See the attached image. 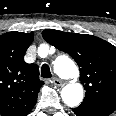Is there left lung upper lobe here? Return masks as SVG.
<instances>
[{"instance_id": "left-lung-upper-lobe-1", "label": "left lung upper lobe", "mask_w": 116, "mask_h": 116, "mask_svg": "<svg viewBox=\"0 0 116 116\" xmlns=\"http://www.w3.org/2000/svg\"><path fill=\"white\" fill-rule=\"evenodd\" d=\"M43 38L68 53L80 67L82 104L116 107V47L92 35L46 29Z\"/></svg>"}]
</instances>
